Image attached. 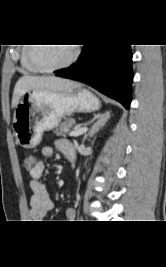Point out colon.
I'll return each mask as SVG.
<instances>
[{
    "label": "colon",
    "mask_w": 166,
    "mask_h": 267,
    "mask_svg": "<svg viewBox=\"0 0 166 267\" xmlns=\"http://www.w3.org/2000/svg\"><path fill=\"white\" fill-rule=\"evenodd\" d=\"M23 162H24L25 168L30 170L35 165L36 160L33 155L27 154L24 156Z\"/></svg>",
    "instance_id": "obj_1"
}]
</instances>
